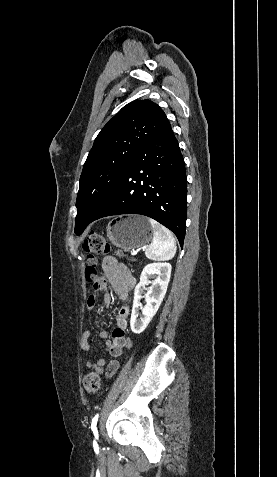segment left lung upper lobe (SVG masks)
<instances>
[{
  "label": "left lung upper lobe",
  "mask_w": 277,
  "mask_h": 477,
  "mask_svg": "<svg viewBox=\"0 0 277 477\" xmlns=\"http://www.w3.org/2000/svg\"><path fill=\"white\" fill-rule=\"evenodd\" d=\"M169 124L150 100L124 106L100 131L85 161L76 200L75 233L91 222L108 199L126 165Z\"/></svg>",
  "instance_id": "obj_1"
}]
</instances>
